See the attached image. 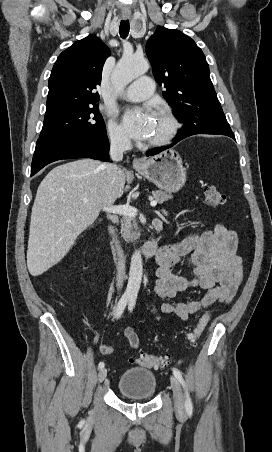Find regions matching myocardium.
<instances>
[{"mask_svg": "<svg viewBox=\"0 0 272 452\" xmlns=\"http://www.w3.org/2000/svg\"><path fill=\"white\" fill-rule=\"evenodd\" d=\"M159 114H161L166 119L168 128L161 137L149 140L147 142L148 146L157 147L170 143L174 139L179 130V122L170 110L162 109L160 110Z\"/></svg>", "mask_w": 272, "mask_h": 452, "instance_id": "myocardium-1", "label": "myocardium"}]
</instances>
